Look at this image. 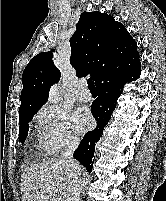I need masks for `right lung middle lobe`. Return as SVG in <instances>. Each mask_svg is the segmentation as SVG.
<instances>
[{"mask_svg": "<svg viewBox=\"0 0 166 201\" xmlns=\"http://www.w3.org/2000/svg\"><path fill=\"white\" fill-rule=\"evenodd\" d=\"M36 112L27 114L25 116L19 117V139L21 141V143H24L27 134H28V130H29V126H28V122L32 119V117L34 116Z\"/></svg>", "mask_w": 166, "mask_h": 201, "instance_id": "obj_1", "label": "right lung middle lobe"}]
</instances>
